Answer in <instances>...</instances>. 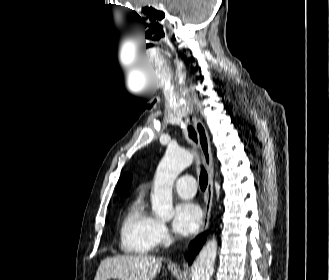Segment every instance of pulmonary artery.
I'll use <instances>...</instances> for the list:
<instances>
[{
	"label": "pulmonary artery",
	"mask_w": 329,
	"mask_h": 280,
	"mask_svg": "<svg viewBox=\"0 0 329 280\" xmlns=\"http://www.w3.org/2000/svg\"><path fill=\"white\" fill-rule=\"evenodd\" d=\"M176 193L182 198H192L196 193V182L191 175H182L174 184Z\"/></svg>",
	"instance_id": "obj_1"
}]
</instances>
